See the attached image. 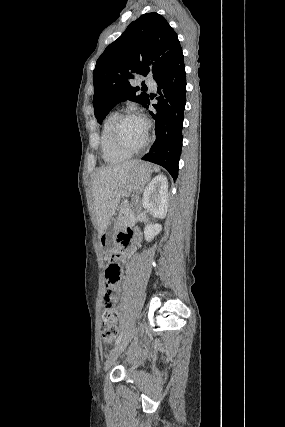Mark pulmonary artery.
<instances>
[{
  "label": "pulmonary artery",
  "instance_id": "1",
  "mask_svg": "<svg viewBox=\"0 0 285 427\" xmlns=\"http://www.w3.org/2000/svg\"><path fill=\"white\" fill-rule=\"evenodd\" d=\"M145 83H146L147 85H149V86H152V87H155V86H156L155 81H154L153 79H151V78H147V79H145Z\"/></svg>",
  "mask_w": 285,
  "mask_h": 427
}]
</instances>
